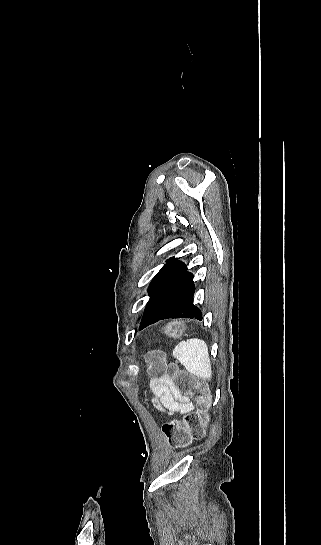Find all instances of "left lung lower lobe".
<instances>
[{"label":"left lung lower lobe","instance_id":"left-lung-lower-lobe-1","mask_svg":"<svg viewBox=\"0 0 321 545\" xmlns=\"http://www.w3.org/2000/svg\"><path fill=\"white\" fill-rule=\"evenodd\" d=\"M193 277L183 262L175 258L168 259L150 283V300L139 329L166 318L202 320V312L193 304Z\"/></svg>","mask_w":321,"mask_h":545}]
</instances>
